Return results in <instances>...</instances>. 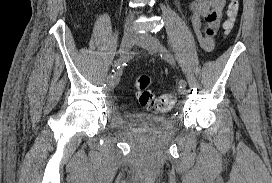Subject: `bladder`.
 <instances>
[{"instance_id":"obj_1","label":"bladder","mask_w":272,"mask_h":183,"mask_svg":"<svg viewBox=\"0 0 272 183\" xmlns=\"http://www.w3.org/2000/svg\"><path fill=\"white\" fill-rule=\"evenodd\" d=\"M127 117L131 123L145 125L153 132L160 131L168 123V119L164 116H153L149 114H128Z\"/></svg>"}]
</instances>
